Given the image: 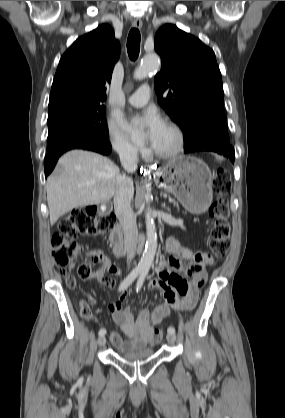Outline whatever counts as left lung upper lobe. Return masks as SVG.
<instances>
[{
	"mask_svg": "<svg viewBox=\"0 0 285 418\" xmlns=\"http://www.w3.org/2000/svg\"><path fill=\"white\" fill-rule=\"evenodd\" d=\"M162 60L155 76L158 103L184 132V148L202 142L230 143L222 77L212 49L172 24L155 35ZM169 89L167 97L163 93Z\"/></svg>",
	"mask_w": 285,
	"mask_h": 418,
	"instance_id": "5c2ea615",
	"label": "left lung upper lobe"
}]
</instances>
